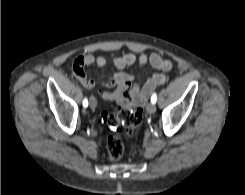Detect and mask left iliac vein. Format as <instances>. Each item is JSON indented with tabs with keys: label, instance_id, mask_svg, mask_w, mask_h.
<instances>
[{
	"label": "left iliac vein",
	"instance_id": "4c4485c4",
	"mask_svg": "<svg viewBox=\"0 0 245 195\" xmlns=\"http://www.w3.org/2000/svg\"><path fill=\"white\" fill-rule=\"evenodd\" d=\"M146 111L149 113V114H153L155 113L156 111V107L153 103H149L146 107Z\"/></svg>",
	"mask_w": 245,
	"mask_h": 195
}]
</instances>
